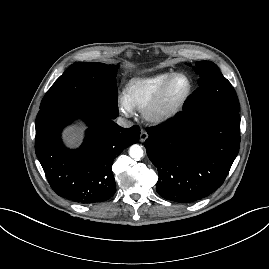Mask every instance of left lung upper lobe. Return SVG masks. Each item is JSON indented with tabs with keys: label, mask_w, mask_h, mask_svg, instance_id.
Listing matches in <instances>:
<instances>
[{
	"label": "left lung upper lobe",
	"mask_w": 269,
	"mask_h": 269,
	"mask_svg": "<svg viewBox=\"0 0 269 269\" xmlns=\"http://www.w3.org/2000/svg\"><path fill=\"white\" fill-rule=\"evenodd\" d=\"M195 65L194 70L200 76L199 88L187 99L181 113L194 116L218 109L239 111L235 90L217 65L210 61L196 62Z\"/></svg>",
	"instance_id": "left-lung-upper-lobe-1"
}]
</instances>
